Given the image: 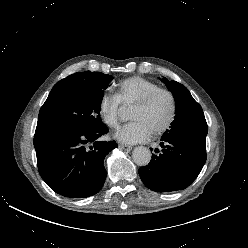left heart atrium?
<instances>
[{"label": "left heart atrium", "mask_w": 248, "mask_h": 248, "mask_svg": "<svg viewBox=\"0 0 248 248\" xmlns=\"http://www.w3.org/2000/svg\"><path fill=\"white\" fill-rule=\"evenodd\" d=\"M152 130L141 120H135L122 126L116 132V138L126 144H135L146 141Z\"/></svg>", "instance_id": "39dd6f15"}]
</instances>
